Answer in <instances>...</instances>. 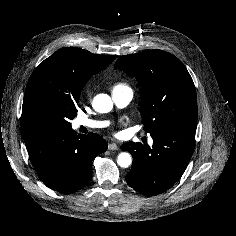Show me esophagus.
Listing matches in <instances>:
<instances>
[{
  "instance_id": "1",
  "label": "esophagus",
  "mask_w": 236,
  "mask_h": 236,
  "mask_svg": "<svg viewBox=\"0 0 236 236\" xmlns=\"http://www.w3.org/2000/svg\"><path fill=\"white\" fill-rule=\"evenodd\" d=\"M108 149L109 150H118V145L114 142L108 144Z\"/></svg>"
}]
</instances>
